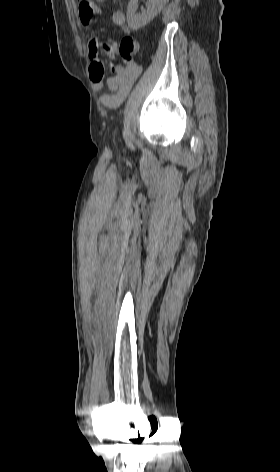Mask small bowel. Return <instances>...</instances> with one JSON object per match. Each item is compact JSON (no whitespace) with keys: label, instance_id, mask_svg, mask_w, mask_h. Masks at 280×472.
I'll return each mask as SVG.
<instances>
[{"label":"small bowel","instance_id":"c3829d8e","mask_svg":"<svg viewBox=\"0 0 280 472\" xmlns=\"http://www.w3.org/2000/svg\"><path fill=\"white\" fill-rule=\"evenodd\" d=\"M77 2L80 21L83 25H89L95 15H102L100 8L91 0H77ZM112 22L124 33H130L131 29L126 24V14L123 10L118 9L113 12ZM88 53L91 61L89 72L93 87L95 90H101L104 86L105 67L100 55L105 53L114 58L119 54V46L112 40L99 41L98 38L93 37L89 42ZM140 74L141 66L137 63L117 64L115 73L106 79L108 93L100 96V103L110 109L120 106Z\"/></svg>","mask_w":280,"mask_h":472}]
</instances>
